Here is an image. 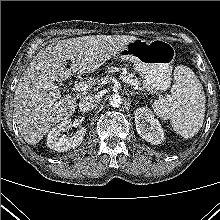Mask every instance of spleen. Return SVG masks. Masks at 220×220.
<instances>
[{
	"instance_id": "1",
	"label": "spleen",
	"mask_w": 220,
	"mask_h": 220,
	"mask_svg": "<svg viewBox=\"0 0 220 220\" xmlns=\"http://www.w3.org/2000/svg\"><path fill=\"white\" fill-rule=\"evenodd\" d=\"M153 109L161 118L169 119L173 129L182 137H194L205 116V94L194 72L186 66H177L171 94L155 101Z\"/></svg>"
}]
</instances>
